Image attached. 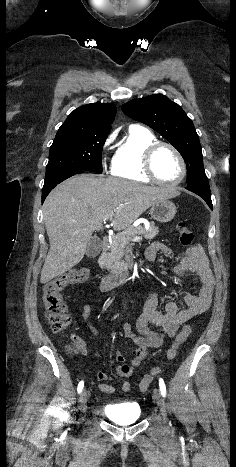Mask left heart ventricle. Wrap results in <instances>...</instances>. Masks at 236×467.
Segmentation results:
<instances>
[{
	"label": "left heart ventricle",
	"instance_id": "left-heart-ventricle-1",
	"mask_svg": "<svg viewBox=\"0 0 236 467\" xmlns=\"http://www.w3.org/2000/svg\"><path fill=\"white\" fill-rule=\"evenodd\" d=\"M154 169L157 176L166 182H174L181 175V165L177 156L168 148H161L154 158Z\"/></svg>",
	"mask_w": 236,
	"mask_h": 467
}]
</instances>
